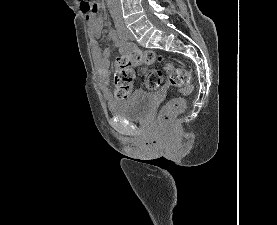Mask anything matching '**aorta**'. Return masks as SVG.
I'll return each mask as SVG.
<instances>
[{"label": "aorta", "mask_w": 277, "mask_h": 225, "mask_svg": "<svg viewBox=\"0 0 277 225\" xmlns=\"http://www.w3.org/2000/svg\"><path fill=\"white\" fill-rule=\"evenodd\" d=\"M107 4L112 18L115 21H120L122 17V11L119 0H107Z\"/></svg>", "instance_id": "1"}]
</instances>
